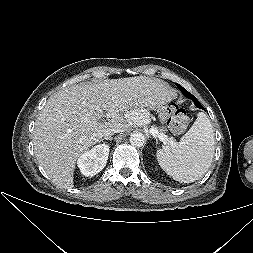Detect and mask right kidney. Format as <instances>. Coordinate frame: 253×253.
<instances>
[{
  "label": "right kidney",
  "mask_w": 253,
  "mask_h": 253,
  "mask_svg": "<svg viewBox=\"0 0 253 253\" xmlns=\"http://www.w3.org/2000/svg\"><path fill=\"white\" fill-rule=\"evenodd\" d=\"M108 155L109 146L107 144H99L86 151L77 160L81 173L87 177L98 174L106 166Z\"/></svg>",
  "instance_id": "right-kidney-1"
}]
</instances>
